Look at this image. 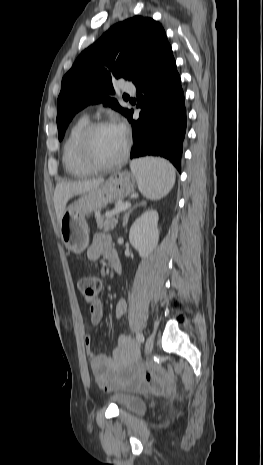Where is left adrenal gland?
Wrapping results in <instances>:
<instances>
[{"label": "left adrenal gland", "instance_id": "a2214340", "mask_svg": "<svg viewBox=\"0 0 263 465\" xmlns=\"http://www.w3.org/2000/svg\"><path fill=\"white\" fill-rule=\"evenodd\" d=\"M145 205H146V202L143 201V202H140L139 204H136L132 209H129V210L125 213V215H124V217H123V227H125L126 224L128 223V219H129L130 214H131L137 207H139V206H145Z\"/></svg>", "mask_w": 263, "mask_h": 465}]
</instances>
